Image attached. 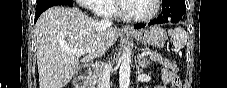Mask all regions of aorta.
Here are the masks:
<instances>
[{
	"label": "aorta",
	"mask_w": 227,
	"mask_h": 88,
	"mask_svg": "<svg viewBox=\"0 0 227 88\" xmlns=\"http://www.w3.org/2000/svg\"><path fill=\"white\" fill-rule=\"evenodd\" d=\"M120 70H119V87L128 88L130 84V71H131V51L126 49L120 58Z\"/></svg>",
	"instance_id": "762f6f07"
}]
</instances>
